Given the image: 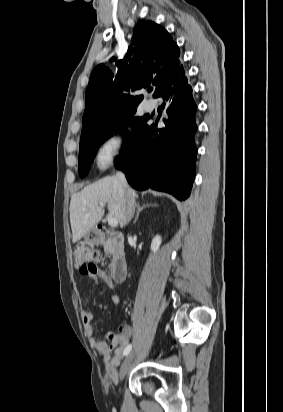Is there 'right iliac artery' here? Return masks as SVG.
<instances>
[{"mask_svg": "<svg viewBox=\"0 0 283 412\" xmlns=\"http://www.w3.org/2000/svg\"><path fill=\"white\" fill-rule=\"evenodd\" d=\"M131 349H132V345L129 344V345L125 348L123 355H128V354L130 353Z\"/></svg>", "mask_w": 283, "mask_h": 412, "instance_id": "82829eb1", "label": "right iliac artery"}]
</instances>
